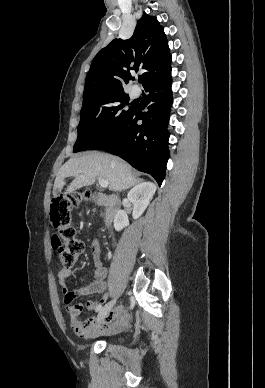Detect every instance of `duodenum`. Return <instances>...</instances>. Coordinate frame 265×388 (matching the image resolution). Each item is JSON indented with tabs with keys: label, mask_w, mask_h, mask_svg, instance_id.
<instances>
[{
	"label": "duodenum",
	"mask_w": 265,
	"mask_h": 388,
	"mask_svg": "<svg viewBox=\"0 0 265 388\" xmlns=\"http://www.w3.org/2000/svg\"><path fill=\"white\" fill-rule=\"evenodd\" d=\"M96 201L104 207V222L106 225H110L120 208L119 199L115 196L100 194Z\"/></svg>",
	"instance_id": "410a0bca"
}]
</instances>
